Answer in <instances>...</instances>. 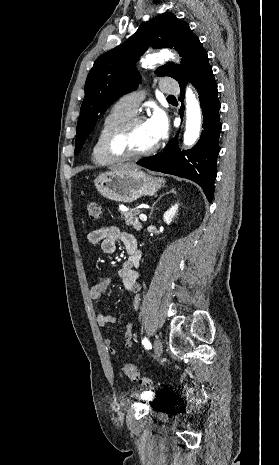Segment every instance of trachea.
<instances>
[{
    "mask_svg": "<svg viewBox=\"0 0 279 465\" xmlns=\"http://www.w3.org/2000/svg\"><path fill=\"white\" fill-rule=\"evenodd\" d=\"M168 99H175V97L171 95L168 97Z\"/></svg>",
    "mask_w": 279,
    "mask_h": 465,
    "instance_id": "1",
    "label": "trachea"
}]
</instances>
